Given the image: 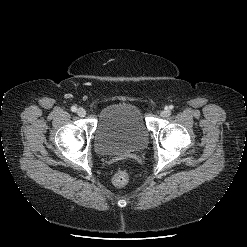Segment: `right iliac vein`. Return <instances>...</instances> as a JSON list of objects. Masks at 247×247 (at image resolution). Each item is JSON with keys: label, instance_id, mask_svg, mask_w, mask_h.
<instances>
[{"label": "right iliac vein", "instance_id": "63e3f726", "mask_svg": "<svg viewBox=\"0 0 247 247\" xmlns=\"http://www.w3.org/2000/svg\"><path fill=\"white\" fill-rule=\"evenodd\" d=\"M77 114L80 117H84L86 115V111H85L84 108L80 107V108L77 109Z\"/></svg>", "mask_w": 247, "mask_h": 247}]
</instances>
